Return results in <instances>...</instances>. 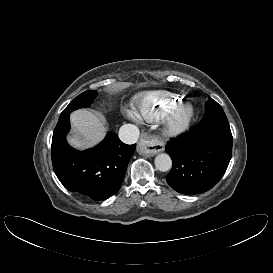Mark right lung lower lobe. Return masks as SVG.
<instances>
[{"mask_svg":"<svg viewBox=\"0 0 273 273\" xmlns=\"http://www.w3.org/2000/svg\"><path fill=\"white\" fill-rule=\"evenodd\" d=\"M70 115L59 118L53 132L51 152L53 169L71 192L102 201L120 188L136 144H124L115 133H108L96 147L77 151L66 142Z\"/></svg>","mask_w":273,"mask_h":273,"instance_id":"right-lung-lower-lobe-1","label":"right lung lower lobe"}]
</instances>
